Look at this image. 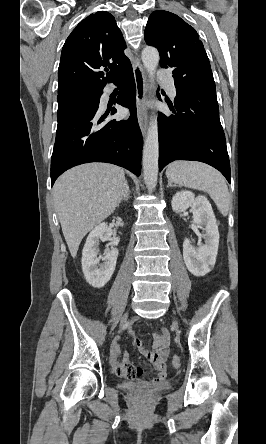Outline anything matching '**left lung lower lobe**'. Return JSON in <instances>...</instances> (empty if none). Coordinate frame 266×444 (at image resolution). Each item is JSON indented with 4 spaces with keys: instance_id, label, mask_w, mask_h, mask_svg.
Here are the masks:
<instances>
[{
    "instance_id": "left-lung-lower-lobe-1",
    "label": "left lung lower lobe",
    "mask_w": 266,
    "mask_h": 444,
    "mask_svg": "<svg viewBox=\"0 0 266 444\" xmlns=\"http://www.w3.org/2000/svg\"><path fill=\"white\" fill-rule=\"evenodd\" d=\"M175 115L159 113V171L174 160H195L218 169L230 183L226 140L216 90L176 88Z\"/></svg>"
}]
</instances>
